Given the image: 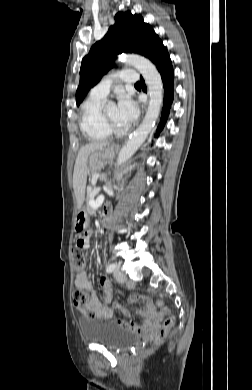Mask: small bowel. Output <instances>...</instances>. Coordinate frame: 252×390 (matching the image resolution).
Returning a JSON list of instances; mask_svg holds the SVG:
<instances>
[{
  "label": "small bowel",
  "mask_w": 252,
  "mask_h": 390,
  "mask_svg": "<svg viewBox=\"0 0 252 390\" xmlns=\"http://www.w3.org/2000/svg\"><path fill=\"white\" fill-rule=\"evenodd\" d=\"M81 238L84 240V248L89 247V234H85ZM74 285L76 288L83 289L89 292V304L94 310V315L97 318L105 320L113 319L114 308H117L122 312L124 316L130 318L128 321H124L122 319H115V322L123 328L131 329L142 336H152L158 331L163 318V314L155 310L154 304L149 299L145 300L144 307H141L136 311L131 312L120 305L113 306L111 304L113 296V287L107 277H102L100 279V287L104 293L103 302L96 295L89 276L85 271H82L81 273L76 275ZM136 301L137 299L132 297L130 298L129 303L133 305ZM158 306L161 307L162 303L159 302ZM134 316L139 317L140 320H133L132 317Z\"/></svg>",
  "instance_id": "small-bowel-1"
}]
</instances>
